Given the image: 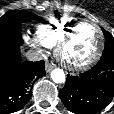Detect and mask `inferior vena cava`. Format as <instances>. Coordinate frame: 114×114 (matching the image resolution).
<instances>
[{"label": "inferior vena cava", "mask_w": 114, "mask_h": 114, "mask_svg": "<svg viewBox=\"0 0 114 114\" xmlns=\"http://www.w3.org/2000/svg\"><path fill=\"white\" fill-rule=\"evenodd\" d=\"M26 58L30 61H40L42 59V54L38 51L29 50L26 52Z\"/></svg>", "instance_id": "inferior-vena-cava-1"}]
</instances>
